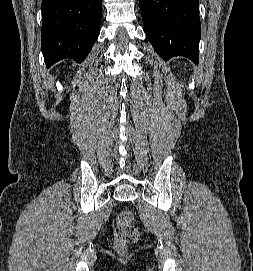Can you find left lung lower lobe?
<instances>
[{"label": "left lung lower lobe", "instance_id": "1", "mask_svg": "<svg viewBox=\"0 0 253 271\" xmlns=\"http://www.w3.org/2000/svg\"><path fill=\"white\" fill-rule=\"evenodd\" d=\"M199 0H139L148 40L164 59L185 56L199 61Z\"/></svg>", "mask_w": 253, "mask_h": 271}]
</instances>
